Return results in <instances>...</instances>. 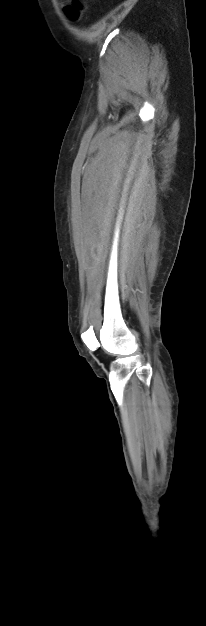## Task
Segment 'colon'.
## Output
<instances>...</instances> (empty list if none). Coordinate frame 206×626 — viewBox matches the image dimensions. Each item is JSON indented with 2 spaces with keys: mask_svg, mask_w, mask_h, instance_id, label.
Here are the masks:
<instances>
[{
  "mask_svg": "<svg viewBox=\"0 0 206 626\" xmlns=\"http://www.w3.org/2000/svg\"><path fill=\"white\" fill-rule=\"evenodd\" d=\"M84 5L82 0H74L72 4L66 7V13L71 19H78L83 11Z\"/></svg>",
  "mask_w": 206,
  "mask_h": 626,
  "instance_id": "1",
  "label": "colon"
}]
</instances>
